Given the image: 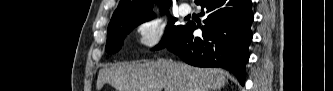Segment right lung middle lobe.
I'll return each mask as SVG.
<instances>
[{
  "mask_svg": "<svg viewBox=\"0 0 333 91\" xmlns=\"http://www.w3.org/2000/svg\"><path fill=\"white\" fill-rule=\"evenodd\" d=\"M163 11L162 13H165ZM154 18V14L128 18L120 21L110 22L107 31L106 51L108 53H116L120 50L123 39L139 24L149 21ZM176 18L170 17L168 26L166 27L165 35L160 44L155 49L166 47L184 28L183 25H175Z\"/></svg>",
  "mask_w": 333,
  "mask_h": 91,
  "instance_id": "obj_1",
  "label": "right lung middle lobe"
}]
</instances>
